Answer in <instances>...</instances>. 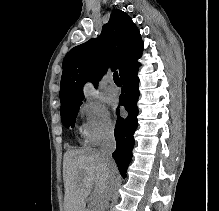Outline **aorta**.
Here are the masks:
<instances>
[{
    "label": "aorta",
    "instance_id": "762f6f07",
    "mask_svg": "<svg viewBox=\"0 0 219 211\" xmlns=\"http://www.w3.org/2000/svg\"><path fill=\"white\" fill-rule=\"evenodd\" d=\"M85 92H86V94H87L88 96H93V95H94V94H93V91H92V89H91L90 86H87V87L85 88Z\"/></svg>",
    "mask_w": 219,
    "mask_h": 211
}]
</instances>
